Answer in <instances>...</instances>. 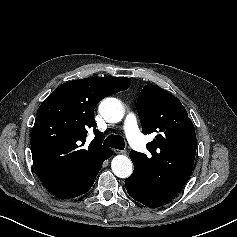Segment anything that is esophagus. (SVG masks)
<instances>
[{
  "instance_id": "1",
  "label": "esophagus",
  "mask_w": 237,
  "mask_h": 237,
  "mask_svg": "<svg viewBox=\"0 0 237 237\" xmlns=\"http://www.w3.org/2000/svg\"><path fill=\"white\" fill-rule=\"evenodd\" d=\"M114 152L117 153V154H124V155L127 154V151H126V150H118V149H115Z\"/></svg>"
}]
</instances>
